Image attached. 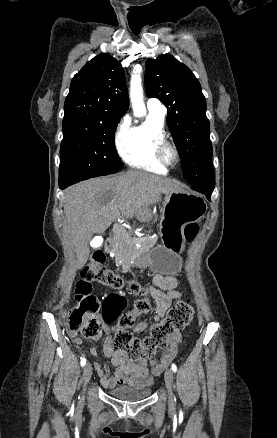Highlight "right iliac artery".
I'll return each instance as SVG.
<instances>
[{
	"label": "right iliac artery",
	"instance_id": "1",
	"mask_svg": "<svg viewBox=\"0 0 277 438\" xmlns=\"http://www.w3.org/2000/svg\"><path fill=\"white\" fill-rule=\"evenodd\" d=\"M85 363H86V358H85V357H82V358H81V361H80L81 366H84Z\"/></svg>",
	"mask_w": 277,
	"mask_h": 438
}]
</instances>
